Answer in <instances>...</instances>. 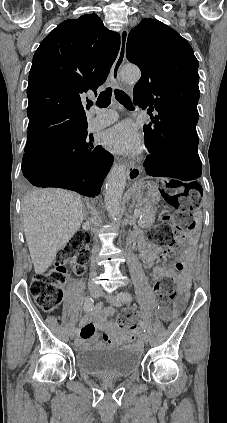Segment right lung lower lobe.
Listing matches in <instances>:
<instances>
[{
    "instance_id": "1",
    "label": "right lung lower lobe",
    "mask_w": 227,
    "mask_h": 423,
    "mask_svg": "<svg viewBox=\"0 0 227 423\" xmlns=\"http://www.w3.org/2000/svg\"><path fill=\"white\" fill-rule=\"evenodd\" d=\"M54 109L40 108L38 115ZM113 163V156L101 146H93L87 126L69 131L56 140L25 152L22 172L37 187H57L94 198Z\"/></svg>"
}]
</instances>
